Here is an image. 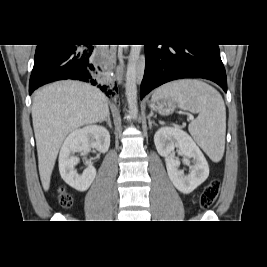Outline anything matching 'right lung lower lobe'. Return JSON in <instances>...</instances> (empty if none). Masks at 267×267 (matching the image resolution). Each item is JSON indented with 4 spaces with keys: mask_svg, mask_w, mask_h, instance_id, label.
<instances>
[{
    "mask_svg": "<svg viewBox=\"0 0 267 267\" xmlns=\"http://www.w3.org/2000/svg\"><path fill=\"white\" fill-rule=\"evenodd\" d=\"M103 58L90 45H37L29 94L47 83L72 79L91 83L113 96L117 87L108 80Z\"/></svg>",
    "mask_w": 267,
    "mask_h": 267,
    "instance_id": "1",
    "label": "right lung lower lobe"
}]
</instances>
